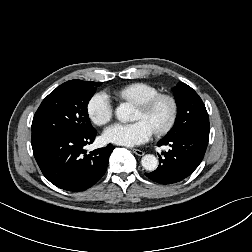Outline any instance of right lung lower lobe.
Returning <instances> with one entry per match:
<instances>
[{
    "label": "right lung lower lobe",
    "instance_id": "obj_1",
    "mask_svg": "<svg viewBox=\"0 0 252 252\" xmlns=\"http://www.w3.org/2000/svg\"><path fill=\"white\" fill-rule=\"evenodd\" d=\"M96 130L85 135H32L34 157L45 178L55 186L79 192L93 186L106 172L114 146L89 154L83 147L93 143Z\"/></svg>",
    "mask_w": 252,
    "mask_h": 252
}]
</instances>
